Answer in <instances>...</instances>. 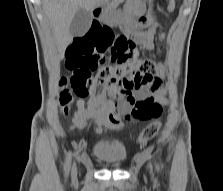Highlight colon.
I'll list each match as a JSON object with an SVG mask.
<instances>
[{"mask_svg": "<svg viewBox=\"0 0 223 191\" xmlns=\"http://www.w3.org/2000/svg\"><path fill=\"white\" fill-rule=\"evenodd\" d=\"M106 52H109L112 59L110 65H103ZM66 56L67 68L72 70L73 74L60 84L59 101L61 110L65 114L73 100L72 93L79 97H86L97 84L124 83L125 87L133 89L149 84L154 78L166 77L162 68L167 66L166 62H161L159 65L153 60L141 58L133 39L123 34L115 35L108 26L92 27L85 34L74 38L67 49ZM100 66L98 72L93 75ZM159 111L157 107L152 109L154 115ZM158 129L159 123L152 122L141 130L137 143L147 144L156 135Z\"/></svg>", "mask_w": 223, "mask_h": 191, "instance_id": "obj_1", "label": "colon"}]
</instances>
